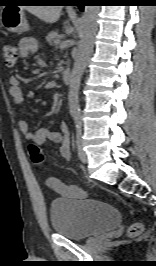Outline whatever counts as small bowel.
Instances as JSON below:
<instances>
[{"label": "small bowel", "mask_w": 156, "mask_h": 266, "mask_svg": "<svg viewBox=\"0 0 156 266\" xmlns=\"http://www.w3.org/2000/svg\"><path fill=\"white\" fill-rule=\"evenodd\" d=\"M37 49V42L32 38H23L18 43L19 55L21 57H27L31 54H34L36 53ZM9 83V95L12 99V102L15 105H21L24 101V95L20 86L19 77L12 76ZM17 124L19 130L26 140L38 146L43 145L48 140L54 143H59L61 157L64 160L70 159V135L65 122L61 123L60 131H50L47 128H39L35 131H32L27 121L24 119H19ZM47 186L65 198L83 199L86 197V193L82 188L76 185H66L56 178L48 179Z\"/></svg>", "instance_id": "obj_1"}]
</instances>
